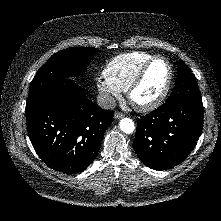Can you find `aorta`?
Wrapping results in <instances>:
<instances>
[{
  "label": "aorta",
  "instance_id": "obj_1",
  "mask_svg": "<svg viewBox=\"0 0 221 221\" xmlns=\"http://www.w3.org/2000/svg\"><path fill=\"white\" fill-rule=\"evenodd\" d=\"M119 127L126 134H131L135 130L134 122L130 118H122L119 122Z\"/></svg>",
  "mask_w": 221,
  "mask_h": 221
}]
</instances>
